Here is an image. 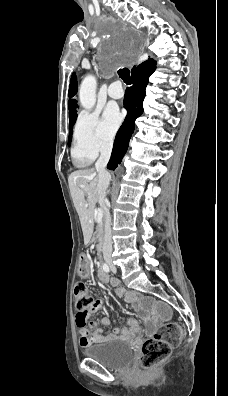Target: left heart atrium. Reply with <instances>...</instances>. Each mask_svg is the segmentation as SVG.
Here are the masks:
<instances>
[{"label": "left heart atrium", "instance_id": "1", "mask_svg": "<svg viewBox=\"0 0 228 396\" xmlns=\"http://www.w3.org/2000/svg\"><path fill=\"white\" fill-rule=\"evenodd\" d=\"M104 122L108 131L114 134L122 122V115L114 105H109L104 111Z\"/></svg>", "mask_w": 228, "mask_h": 396}]
</instances>
